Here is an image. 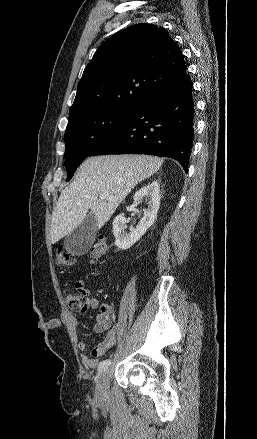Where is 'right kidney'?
Here are the masks:
<instances>
[{
  "label": "right kidney",
  "mask_w": 257,
  "mask_h": 439,
  "mask_svg": "<svg viewBox=\"0 0 257 439\" xmlns=\"http://www.w3.org/2000/svg\"><path fill=\"white\" fill-rule=\"evenodd\" d=\"M160 185L158 181H153L138 190L133 199L135 202L142 200L148 201V208L144 210V216L138 226L130 228V232L126 231V218L122 215L115 217L113 221V234L115 244L118 248L127 250L135 244L150 228L157 217L160 206Z\"/></svg>",
  "instance_id": "right-kidney-1"
}]
</instances>
